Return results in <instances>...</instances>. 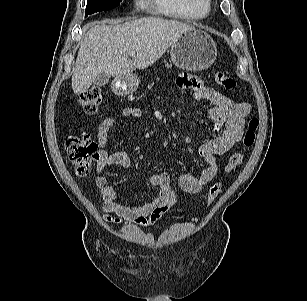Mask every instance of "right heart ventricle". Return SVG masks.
<instances>
[{"label": "right heart ventricle", "mask_w": 307, "mask_h": 301, "mask_svg": "<svg viewBox=\"0 0 307 301\" xmlns=\"http://www.w3.org/2000/svg\"><path fill=\"white\" fill-rule=\"evenodd\" d=\"M147 6L168 17L199 20L207 16L211 0H146Z\"/></svg>", "instance_id": "1"}]
</instances>
